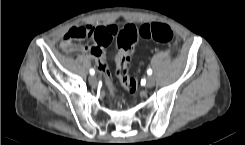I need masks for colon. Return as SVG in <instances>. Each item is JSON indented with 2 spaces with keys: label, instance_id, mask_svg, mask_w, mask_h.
Segmentation results:
<instances>
[{
  "label": "colon",
  "instance_id": "1",
  "mask_svg": "<svg viewBox=\"0 0 245 145\" xmlns=\"http://www.w3.org/2000/svg\"><path fill=\"white\" fill-rule=\"evenodd\" d=\"M112 37H116L118 52L116 55V75L121 84L130 93L137 90V81L128 74V63L130 61V51L135 41L140 37L145 40L156 41L164 44L170 43L174 39L172 29L165 24L152 22L144 23L140 27L128 24L119 29L117 26L108 28ZM96 31L87 25H76L70 28L64 38V43L71 40L88 39L94 40ZM99 71L103 75L104 83L108 91H111L110 73L106 64L98 65Z\"/></svg>",
  "mask_w": 245,
  "mask_h": 145
}]
</instances>
